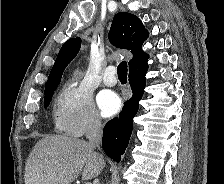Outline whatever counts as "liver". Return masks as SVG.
<instances>
[{"label":"liver","mask_w":224,"mask_h":184,"mask_svg":"<svg viewBox=\"0 0 224 184\" xmlns=\"http://www.w3.org/2000/svg\"><path fill=\"white\" fill-rule=\"evenodd\" d=\"M105 166L88 142L64 135H46L26 162L25 184H70L96 178Z\"/></svg>","instance_id":"obj_1"}]
</instances>
